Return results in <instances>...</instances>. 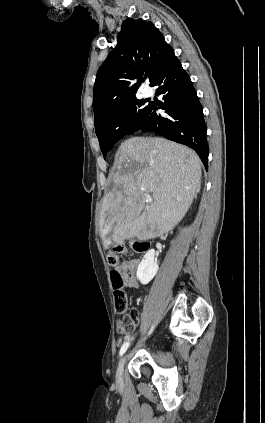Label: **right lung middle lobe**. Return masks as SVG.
I'll use <instances>...</instances> for the list:
<instances>
[{"instance_id": "obj_1", "label": "right lung middle lobe", "mask_w": 265, "mask_h": 423, "mask_svg": "<svg viewBox=\"0 0 265 423\" xmlns=\"http://www.w3.org/2000/svg\"><path fill=\"white\" fill-rule=\"evenodd\" d=\"M145 103V100H139L133 96L118 104L95 123L96 135L104 158L113 145L127 135L144 117L150 107V104Z\"/></svg>"}]
</instances>
